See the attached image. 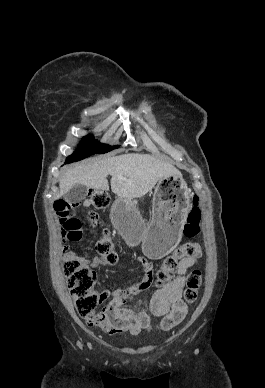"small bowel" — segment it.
I'll list each match as a JSON object with an SVG mask.
<instances>
[{
	"mask_svg": "<svg viewBox=\"0 0 265 388\" xmlns=\"http://www.w3.org/2000/svg\"><path fill=\"white\" fill-rule=\"evenodd\" d=\"M90 205V200L82 202L84 207H89ZM89 218L95 222L98 216L95 212H89ZM62 250L65 253L66 259L76 257L67 247H63ZM80 261L90 267H96L99 264L97 257ZM138 261L142 266L143 274L134 285L128 289L117 290L113 293L104 290L100 295V303L105 302L111 297L110 302L101 311L104 315V321L98 325L109 334L127 332L131 335H138L143 330H149L152 328L150 314L161 317L160 329L169 330L179 324L187 314V306L182 300L185 275L188 269L197 263V258H187L180 261L177 276L152 295L149 304L150 312L145 310L136 311L125 307L126 299L130 295L146 289L153 280V263L144 257H139Z\"/></svg>",
	"mask_w": 265,
	"mask_h": 388,
	"instance_id": "obj_1",
	"label": "small bowel"
}]
</instances>
